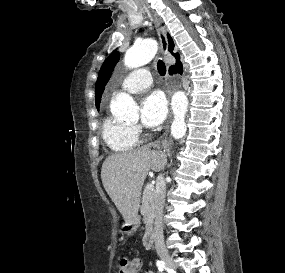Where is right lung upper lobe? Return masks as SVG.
Here are the masks:
<instances>
[{"label": "right lung upper lobe", "mask_w": 285, "mask_h": 273, "mask_svg": "<svg viewBox=\"0 0 285 273\" xmlns=\"http://www.w3.org/2000/svg\"><path fill=\"white\" fill-rule=\"evenodd\" d=\"M168 39H169V51H172L173 48H174V43H173V40L170 36H168ZM175 56V58L178 60L179 59V54L178 53H175L173 54Z\"/></svg>", "instance_id": "1"}]
</instances>
